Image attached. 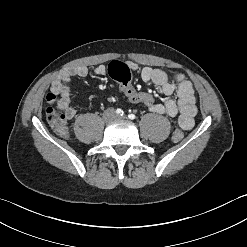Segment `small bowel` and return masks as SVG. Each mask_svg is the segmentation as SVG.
Returning a JSON list of instances; mask_svg holds the SVG:
<instances>
[{
    "instance_id": "1",
    "label": "small bowel",
    "mask_w": 247,
    "mask_h": 247,
    "mask_svg": "<svg viewBox=\"0 0 247 247\" xmlns=\"http://www.w3.org/2000/svg\"><path fill=\"white\" fill-rule=\"evenodd\" d=\"M130 71H137L138 65L135 62L124 63ZM95 75L104 76L108 74V66L99 65L94 68ZM88 69L84 66L70 67L58 75L52 83L50 93L56 96V105L62 108L67 119L76 115V108L70 104V81L73 77H86ZM143 82L156 86L157 90L164 95H171L176 92L178 99H167L163 103H154L148 107L150 111L157 114H165L170 117L179 115V125L183 129H191L195 123L197 113L196 99L192 84L184 75L174 74L170 81L169 75L160 68L144 67L140 71Z\"/></svg>"
}]
</instances>
